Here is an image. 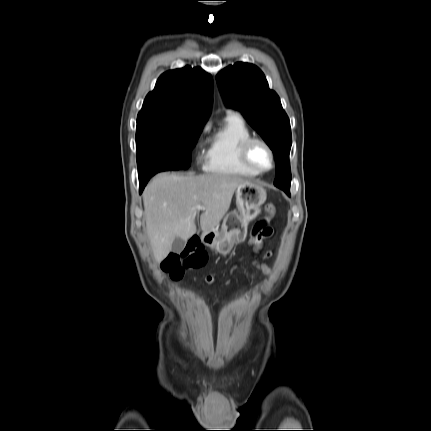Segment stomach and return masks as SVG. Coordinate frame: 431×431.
Listing matches in <instances>:
<instances>
[{
  "label": "stomach",
  "mask_w": 431,
  "mask_h": 431,
  "mask_svg": "<svg viewBox=\"0 0 431 431\" xmlns=\"http://www.w3.org/2000/svg\"><path fill=\"white\" fill-rule=\"evenodd\" d=\"M266 197L265 189L258 184L240 185L236 190L237 209L224 217L220 230L203 234V243L219 254H228L234 244L245 240L248 224L260 214Z\"/></svg>",
  "instance_id": "1"
}]
</instances>
